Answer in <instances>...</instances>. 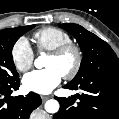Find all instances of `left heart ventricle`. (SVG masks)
<instances>
[{
  "instance_id": "1",
  "label": "left heart ventricle",
  "mask_w": 119,
  "mask_h": 119,
  "mask_svg": "<svg viewBox=\"0 0 119 119\" xmlns=\"http://www.w3.org/2000/svg\"><path fill=\"white\" fill-rule=\"evenodd\" d=\"M74 61L75 57L73 53H68L63 57H54L49 55L45 62V67L55 68L63 75L73 67Z\"/></svg>"
}]
</instances>
